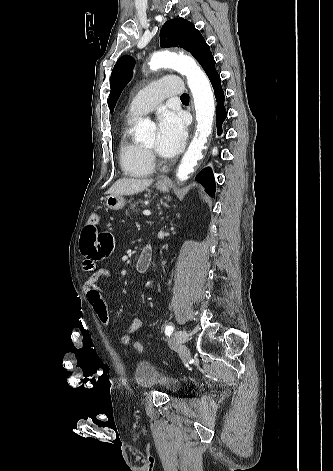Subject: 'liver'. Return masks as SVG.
<instances>
[{
  "instance_id": "6515ba94",
  "label": "liver",
  "mask_w": 333,
  "mask_h": 471,
  "mask_svg": "<svg viewBox=\"0 0 333 471\" xmlns=\"http://www.w3.org/2000/svg\"><path fill=\"white\" fill-rule=\"evenodd\" d=\"M153 183V179H118L107 191L108 194L133 195L144 191Z\"/></svg>"
}]
</instances>
